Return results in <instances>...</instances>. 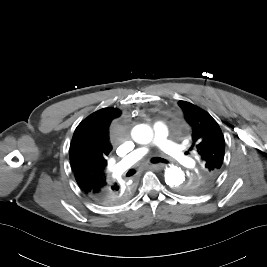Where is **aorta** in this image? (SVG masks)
Returning <instances> with one entry per match:
<instances>
[{
  "label": "aorta",
  "instance_id": "aorta-1",
  "mask_svg": "<svg viewBox=\"0 0 267 267\" xmlns=\"http://www.w3.org/2000/svg\"><path fill=\"white\" fill-rule=\"evenodd\" d=\"M132 136L136 142L148 144L153 138V132L148 125L139 124L133 128ZM164 177L166 184L172 188H179L185 180L182 169L173 165L165 169Z\"/></svg>",
  "mask_w": 267,
  "mask_h": 267
}]
</instances>
